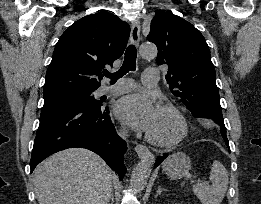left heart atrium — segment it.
Wrapping results in <instances>:
<instances>
[{
  "mask_svg": "<svg viewBox=\"0 0 261 204\" xmlns=\"http://www.w3.org/2000/svg\"><path fill=\"white\" fill-rule=\"evenodd\" d=\"M157 107L147 94H129L122 97L115 106V115L122 122L140 131H149Z\"/></svg>",
  "mask_w": 261,
  "mask_h": 204,
  "instance_id": "1",
  "label": "left heart atrium"
}]
</instances>
